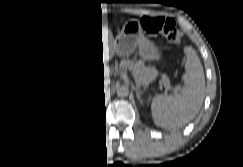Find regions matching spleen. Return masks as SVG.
<instances>
[{"label": "spleen", "instance_id": "obj_1", "mask_svg": "<svg viewBox=\"0 0 243 167\" xmlns=\"http://www.w3.org/2000/svg\"><path fill=\"white\" fill-rule=\"evenodd\" d=\"M185 51L187 60L182 93L174 97L157 95L153 99L151 114L157 126L168 129L182 127L195 117L202 106L205 93L203 67L192 48L186 47Z\"/></svg>", "mask_w": 243, "mask_h": 167}]
</instances>
